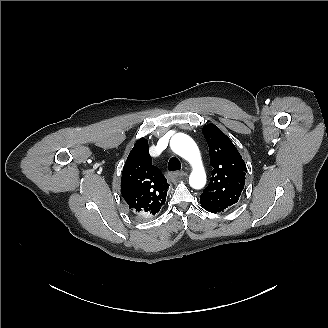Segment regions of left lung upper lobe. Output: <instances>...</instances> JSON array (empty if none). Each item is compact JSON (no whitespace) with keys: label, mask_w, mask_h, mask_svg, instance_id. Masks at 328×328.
<instances>
[{"label":"left lung upper lobe","mask_w":328,"mask_h":328,"mask_svg":"<svg viewBox=\"0 0 328 328\" xmlns=\"http://www.w3.org/2000/svg\"><path fill=\"white\" fill-rule=\"evenodd\" d=\"M203 133L213 171L200 202L205 210L217 213L237 203L245 185L247 169L234 144L216 125H205Z\"/></svg>","instance_id":"5c2ea615"}]
</instances>
